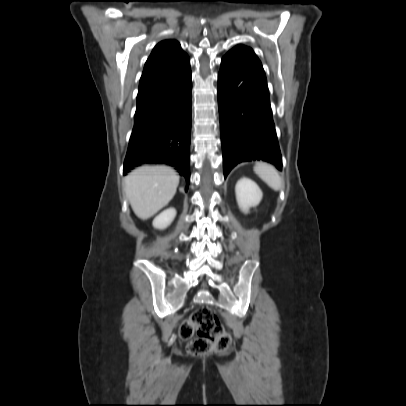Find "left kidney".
I'll return each instance as SVG.
<instances>
[{
	"label": "left kidney",
	"instance_id": "5707ae66",
	"mask_svg": "<svg viewBox=\"0 0 406 406\" xmlns=\"http://www.w3.org/2000/svg\"><path fill=\"white\" fill-rule=\"evenodd\" d=\"M235 192L238 205L245 213L250 207L258 205L262 198L259 186L249 178L240 179L236 184Z\"/></svg>",
	"mask_w": 406,
	"mask_h": 406
}]
</instances>
